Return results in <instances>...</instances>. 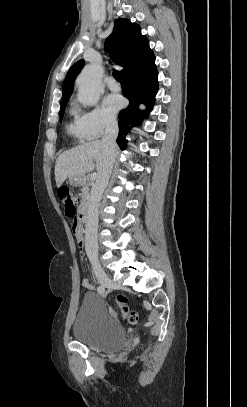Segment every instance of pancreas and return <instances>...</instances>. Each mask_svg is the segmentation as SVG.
<instances>
[{
  "instance_id": "obj_1",
  "label": "pancreas",
  "mask_w": 247,
  "mask_h": 407,
  "mask_svg": "<svg viewBox=\"0 0 247 407\" xmlns=\"http://www.w3.org/2000/svg\"><path fill=\"white\" fill-rule=\"evenodd\" d=\"M81 206H85L88 203L90 194H89V185H84L83 188L81 189Z\"/></svg>"
}]
</instances>
